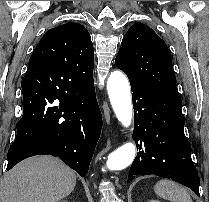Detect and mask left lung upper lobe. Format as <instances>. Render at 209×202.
<instances>
[{"label":"left lung upper lobe","instance_id":"5c2ea615","mask_svg":"<svg viewBox=\"0 0 209 202\" xmlns=\"http://www.w3.org/2000/svg\"><path fill=\"white\" fill-rule=\"evenodd\" d=\"M129 81L178 95L172 59L165 42L143 23H134L123 37L115 60Z\"/></svg>","mask_w":209,"mask_h":202}]
</instances>
